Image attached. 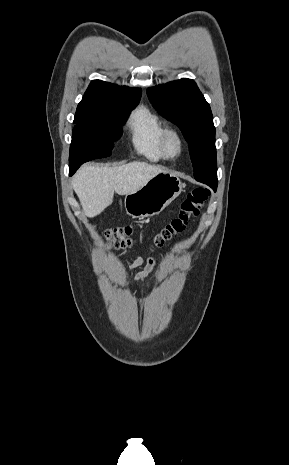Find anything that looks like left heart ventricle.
<instances>
[{
	"label": "left heart ventricle",
	"instance_id": "obj_1",
	"mask_svg": "<svg viewBox=\"0 0 289 465\" xmlns=\"http://www.w3.org/2000/svg\"><path fill=\"white\" fill-rule=\"evenodd\" d=\"M177 142L176 140L172 139L169 144V150L171 153H175L177 151Z\"/></svg>",
	"mask_w": 289,
	"mask_h": 465
}]
</instances>
